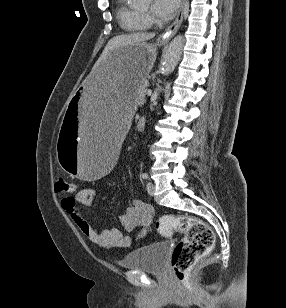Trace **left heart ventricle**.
<instances>
[{
    "label": "left heart ventricle",
    "mask_w": 286,
    "mask_h": 308,
    "mask_svg": "<svg viewBox=\"0 0 286 308\" xmlns=\"http://www.w3.org/2000/svg\"><path fill=\"white\" fill-rule=\"evenodd\" d=\"M149 9V5H147L146 7L143 8V12H147Z\"/></svg>",
    "instance_id": "b2bd125f"
}]
</instances>
